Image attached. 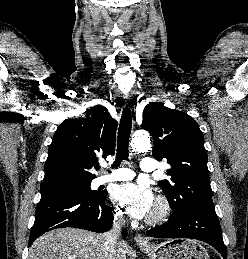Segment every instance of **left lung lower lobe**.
<instances>
[{"instance_id":"0a47b994","label":"left lung lower lobe","mask_w":248,"mask_h":259,"mask_svg":"<svg viewBox=\"0 0 248 259\" xmlns=\"http://www.w3.org/2000/svg\"><path fill=\"white\" fill-rule=\"evenodd\" d=\"M147 236L198 239L213 246L224 259H227L221 227L214 208H199L182 213H172L166 223L148 230Z\"/></svg>"}]
</instances>
